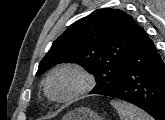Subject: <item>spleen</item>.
I'll list each match as a JSON object with an SVG mask.
<instances>
[{"instance_id": "obj_1", "label": "spleen", "mask_w": 165, "mask_h": 120, "mask_svg": "<svg viewBox=\"0 0 165 120\" xmlns=\"http://www.w3.org/2000/svg\"><path fill=\"white\" fill-rule=\"evenodd\" d=\"M110 104L118 112L120 120H153V118L146 112L130 103L111 100Z\"/></svg>"}]
</instances>
